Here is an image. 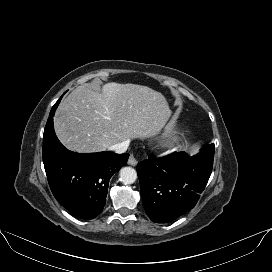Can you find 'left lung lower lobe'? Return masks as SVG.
<instances>
[{
  "label": "left lung lower lobe",
  "mask_w": 272,
  "mask_h": 272,
  "mask_svg": "<svg viewBox=\"0 0 272 272\" xmlns=\"http://www.w3.org/2000/svg\"><path fill=\"white\" fill-rule=\"evenodd\" d=\"M214 144L194 156L185 152L149 156L137 165L143 207L155 223H167L191 210L212 172Z\"/></svg>",
  "instance_id": "left-lung-lower-lobe-1"
}]
</instances>
